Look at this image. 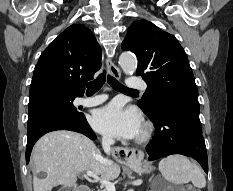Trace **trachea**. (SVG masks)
<instances>
[{
  "label": "trachea",
  "mask_w": 233,
  "mask_h": 191,
  "mask_svg": "<svg viewBox=\"0 0 233 191\" xmlns=\"http://www.w3.org/2000/svg\"><path fill=\"white\" fill-rule=\"evenodd\" d=\"M108 83L112 88L118 91L122 92H137V90L127 88L123 84H121L119 81H117L114 77L108 76L107 78ZM105 82V73L99 75L96 80L89 82L86 87H87V93L88 94H94L96 93L104 84Z\"/></svg>",
  "instance_id": "obj_1"
}]
</instances>
